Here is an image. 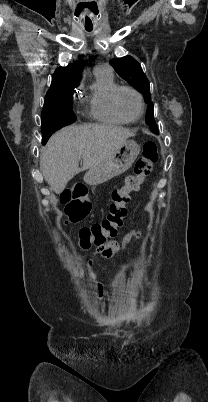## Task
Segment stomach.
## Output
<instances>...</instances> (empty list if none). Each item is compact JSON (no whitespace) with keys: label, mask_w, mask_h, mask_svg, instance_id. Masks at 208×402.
I'll return each instance as SVG.
<instances>
[{"label":"stomach","mask_w":208,"mask_h":402,"mask_svg":"<svg viewBox=\"0 0 208 402\" xmlns=\"http://www.w3.org/2000/svg\"><path fill=\"white\" fill-rule=\"evenodd\" d=\"M139 154V144H136L133 140H128V142L122 144L119 150H116L107 160H104L102 164L88 170L84 176V182L89 186H98V184H104V182H108L115 176L124 174L126 170L131 168Z\"/></svg>","instance_id":"obj_1"}]
</instances>
